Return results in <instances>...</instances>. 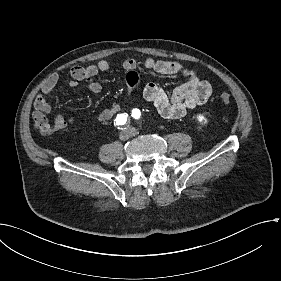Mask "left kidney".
<instances>
[{
	"instance_id": "left-kidney-1",
	"label": "left kidney",
	"mask_w": 281,
	"mask_h": 281,
	"mask_svg": "<svg viewBox=\"0 0 281 281\" xmlns=\"http://www.w3.org/2000/svg\"><path fill=\"white\" fill-rule=\"evenodd\" d=\"M196 119L200 126H206L208 123V118L204 114H196Z\"/></svg>"
}]
</instances>
